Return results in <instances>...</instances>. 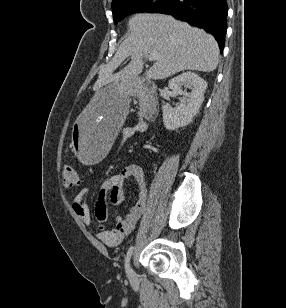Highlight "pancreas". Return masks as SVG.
Instances as JSON below:
<instances>
[{"label": "pancreas", "instance_id": "1", "mask_svg": "<svg viewBox=\"0 0 286 308\" xmlns=\"http://www.w3.org/2000/svg\"><path fill=\"white\" fill-rule=\"evenodd\" d=\"M135 95L137 96L139 100V106H140V111L138 115H139V118L142 119L143 117L147 116V111L150 108V98L147 93L142 92V91H136Z\"/></svg>", "mask_w": 286, "mask_h": 308}]
</instances>
